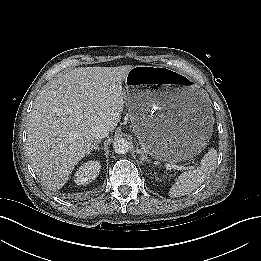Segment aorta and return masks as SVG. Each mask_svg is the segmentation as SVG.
Returning a JSON list of instances; mask_svg holds the SVG:
<instances>
[{
	"label": "aorta",
	"mask_w": 261,
	"mask_h": 261,
	"mask_svg": "<svg viewBox=\"0 0 261 261\" xmlns=\"http://www.w3.org/2000/svg\"><path fill=\"white\" fill-rule=\"evenodd\" d=\"M129 142L125 138H117L113 141L114 152L122 155L129 151Z\"/></svg>",
	"instance_id": "762f6f07"
}]
</instances>
